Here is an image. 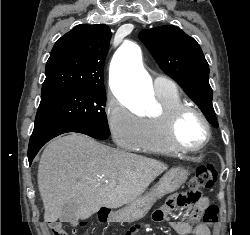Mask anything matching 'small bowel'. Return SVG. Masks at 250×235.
<instances>
[{"instance_id":"small-bowel-1","label":"small bowel","mask_w":250,"mask_h":235,"mask_svg":"<svg viewBox=\"0 0 250 235\" xmlns=\"http://www.w3.org/2000/svg\"><path fill=\"white\" fill-rule=\"evenodd\" d=\"M186 205L187 204L177 200L176 198H170L162 208L158 209L154 213L153 220L163 221L167 214L173 211L175 207H180L191 213V218L194 222L172 221L171 225L179 235H211L212 227L197 221L199 214L208 207V199L206 197H201L195 205L191 207H187Z\"/></svg>"}]
</instances>
